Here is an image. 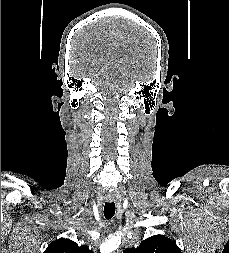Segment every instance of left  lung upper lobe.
<instances>
[{"instance_id":"left-lung-upper-lobe-1","label":"left lung upper lobe","mask_w":229,"mask_h":253,"mask_svg":"<svg viewBox=\"0 0 229 253\" xmlns=\"http://www.w3.org/2000/svg\"><path fill=\"white\" fill-rule=\"evenodd\" d=\"M123 253H182L176 242L163 235H154L143 240L139 247L130 248Z\"/></svg>"}]
</instances>
